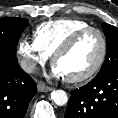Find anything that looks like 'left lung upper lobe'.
<instances>
[{
	"label": "left lung upper lobe",
	"instance_id": "5c2ea615",
	"mask_svg": "<svg viewBox=\"0 0 118 118\" xmlns=\"http://www.w3.org/2000/svg\"><path fill=\"white\" fill-rule=\"evenodd\" d=\"M102 28L106 36L107 53L96 78L118 70V28L107 23H103Z\"/></svg>",
	"mask_w": 118,
	"mask_h": 118
}]
</instances>
